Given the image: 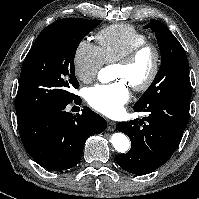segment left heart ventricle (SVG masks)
Segmentation results:
<instances>
[{
    "instance_id": "left-heart-ventricle-1",
    "label": "left heart ventricle",
    "mask_w": 199,
    "mask_h": 199,
    "mask_svg": "<svg viewBox=\"0 0 199 199\" xmlns=\"http://www.w3.org/2000/svg\"><path fill=\"white\" fill-rule=\"evenodd\" d=\"M152 66V55L149 52L141 55L131 66L115 65L112 71L114 79L124 80L129 85L139 84L148 76Z\"/></svg>"
}]
</instances>
